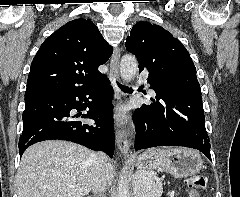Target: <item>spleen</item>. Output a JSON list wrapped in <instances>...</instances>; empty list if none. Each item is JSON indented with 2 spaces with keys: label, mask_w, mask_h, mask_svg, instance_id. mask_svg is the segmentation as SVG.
Instances as JSON below:
<instances>
[{
  "label": "spleen",
  "mask_w": 240,
  "mask_h": 197,
  "mask_svg": "<svg viewBox=\"0 0 240 197\" xmlns=\"http://www.w3.org/2000/svg\"><path fill=\"white\" fill-rule=\"evenodd\" d=\"M168 150H163L167 152ZM147 186L145 197H160L162 193V187L160 184L155 183V173L153 171L147 173Z\"/></svg>",
  "instance_id": "spleen-1"
}]
</instances>
